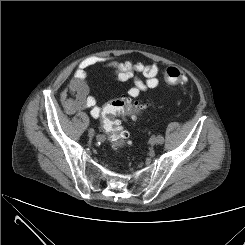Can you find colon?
Wrapping results in <instances>:
<instances>
[{
  "mask_svg": "<svg viewBox=\"0 0 245 245\" xmlns=\"http://www.w3.org/2000/svg\"><path fill=\"white\" fill-rule=\"evenodd\" d=\"M165 80L173 85L185 84L187 78L182 70L177 67H168L164 72ZM145 108L141 101H135L128 97H120L108 102L102 111V126L108 134L109 141L114 149L126 146L129 133L123 128L117 119L122 117H133Z\"/></svg>",
  "mask_w": 245,
  "mask_h": 245,
  "instance_id": "colon-1",
  "label": "colon"
}]
</instances>
